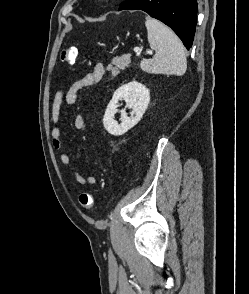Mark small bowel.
Returning a JSON list of instances; mask_svg holds the SVG:
<instances>
[{"label":"small bowel","mask_w":249,"mask_h":294,"mask_svg":"<svg viewBox=\"0 0 249 294\" xmlns=\"http://www.w3.org/2000/svg\"><path fill=\"white\" fill-rule=\"evenodd\" d=\"M105 75V68L103 64L96 63L91 71L84 77L74 82L67 90H59L56 92L51 109V139L55 149H62V134L60 128V118L62 105L65 102L68 106H74L78 100V93L81 89L99 83ZM74 126L77 130H84L86 122L81 114H77L74 118ZM60 162L70 170L75 181L80 185H95L97 180L91 175H82L72 164L70 157L66 153H60Z\"/></svg>","instance_id":"small-bowel-1"}]
</instances>
